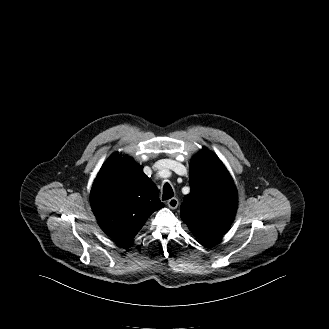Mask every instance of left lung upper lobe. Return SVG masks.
Returning a JSON list of instances; mask_svg holds the SVG:
<instances>
[{
  "label": "left lung upper lobe",
  "mask_w": 329,
  "mask_h": 329,
  "mask_svg": "<svg viewBox=\"0 0 329 329\" xmlns=\"http://www.w3.org/2000/svg\"><path fill=\"white\" fill-rule=\"evenodd\" d=\"M189 170L191 191L184 197L181 218L206 245L222 236L232 223L237 193L223 163L207 149L191 159Z\"/></svg>",
  "instance_id": "obj_1"
}]
</instances>
